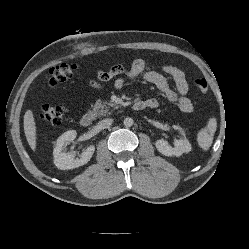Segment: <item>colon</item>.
Segmentation results:
<instances>
[{"label":"colon","mask_w":249,"mask_h":249,"mask_svg":"<svg viewBox=\"0 0 249 249\" xmlns=\"http://www.w3.org/2000/svg\"><path fill=\"white\" fill-rule=\"evenodd\" d=\"M79 73V67L74 64H62L50 69L47 80L48 84L55 88L57 85ZM195 85L199 91L205 95L208 92V84L204 78L195 80ZM66 114V109L62 106L41 104L37 118L41 121H48L53 124L60 123Z\"/></svg>","instance_id":"1"}]
</instances>
